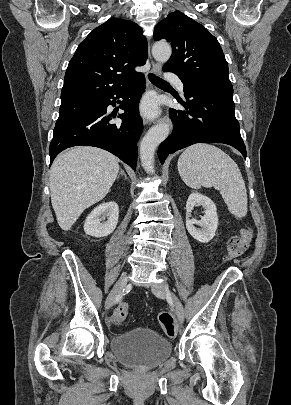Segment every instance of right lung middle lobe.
Listing matches in <instances>:
<instances>
[{"mask_svg": "<svg viewBox=\"0 0 291 405\" xmlns=\"http://www.w3.org/2000/svg\"><path fill=\"white\" fill-rule=\"evenodd\" d=\"M99 106L98 100H81L62 103L56 125L62 124L74 117L92 111Z\"/></svg>", "mask_w": 291, "mask_h": 405, "instance_id": "obj_1", "label": "right lung middle lobe"}]
</instances>
